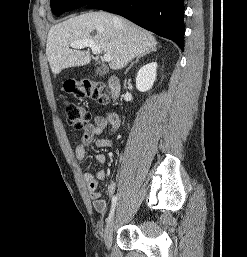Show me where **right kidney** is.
I'll return each mask as SVG.
<instances>
[{"label":"right kidney","instance_id":"right-kidney-1","mask_svg":"<svg viewBox=\"0 0 247 257\" xmlns=\"http://www.w3.org/2000/svg\"><path fill=\"white\" fill-rule=\"evenodd\" d=\"M157 63L152 62L140 68L136 76V88L145 92L152 88L156 80Z\"/></svg>","mask_w":247,"mask_h":257}]
</instances>
